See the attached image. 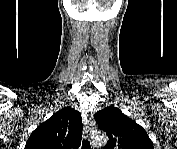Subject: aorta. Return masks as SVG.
<instances>
[{
    "label": "aorta",
    "instance_id": "aorta-1",
    "mask_svg": "<svg viewBox=\"0 0 177 149\" xmlns=\"http://www.w3.org/2000/svg\"><path fill=\"white\" fill-rule=\"evenodd\" d=\"M94 141H95L96 144L102 145V144H105V143L107 142V137H106V135L103 134V133H102V134H98V135L95 137Z\"/></svg>",
    "mask_w": 177,
    "mask_h": 149
}]
</instances>
